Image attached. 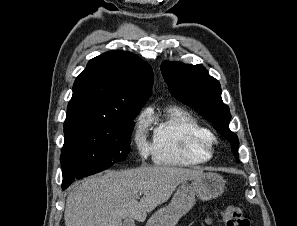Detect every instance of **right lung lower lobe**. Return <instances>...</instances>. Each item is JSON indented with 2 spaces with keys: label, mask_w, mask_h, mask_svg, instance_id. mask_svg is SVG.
Segmentation results:
<instances>
[{
  "label": "right lung lower lobe",
  "mask_w": 297,
  "mask_h": 226,
  "mask_svg": "<svg viewBox=\"0 0 297 226\" xmlns=\"http://www.w3.org/2000/svg\"><path fill=\"white\" fill-rule=\"evenodd\" d=\"M105 169H107V168H91V169L83 170L78 173H72V174L64 177L63 182H62V188L66 189L75 179L89 176V175L95 174V173L100 172Z\"/></svg>",
  "instance_id": "right-lung-lower-lobe-1"
}]
</instances>
